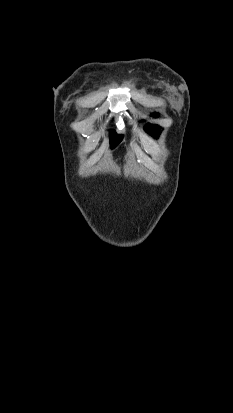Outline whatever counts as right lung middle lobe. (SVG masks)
Instances as JSON below:
<instances>
[{
	"label": "right lung middle lobe",
	"instance_id": "dd1d6c3e",
	"mask_svg": "<svg viewBox=\"0 0 233 413\" xmlns=\"http://www.w3.org/2000/svg\"><path fill=\"white\" fill-rule=\"evenodd\" d=\"M122 140V136H118L116 134L115 131H111L110 134V144H111V148H114L115 146H117Z\"/></svg>",
	"mask_w": 233,
	"mask_h": 413
}]
</instances>
